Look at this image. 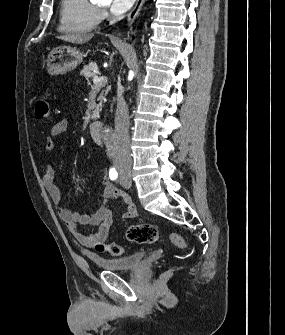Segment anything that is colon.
Listing matches in <instances>:
<instances>
[{
  "label": "colon",
  "instance_id": "5ec220e1",
  "mask_svg": "<svg viewBox=\"0 0 285 335\" xmlns=\"http://www.w3.org/2000/svg\"><path fill=\"white\" fill-rule=\"evenodd\" d=\"M35 116L38 119L46 120L50 116V102L47 94H41L35 104ZM126 238L128 241L137 244H152L159 240L158 229L151 224H135L126 230ZM169 242L179 248L187 247L186 240L177 233L169 235ZM94 248L99 252H108L113 256H120L124 253V248L115 243L106 244L105 241H98Z\"/></svg>",
  "mask_w": 285,
  "mask_h": 335
}]
</instances>
